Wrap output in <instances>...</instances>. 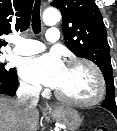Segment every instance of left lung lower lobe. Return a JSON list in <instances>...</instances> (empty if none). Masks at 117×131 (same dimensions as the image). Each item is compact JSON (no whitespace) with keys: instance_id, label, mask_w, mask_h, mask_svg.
Masks as SVG:
<instances>
[{"instance_id":"obj_1","label":"left lung lower lobe","mask_w":117,"mask_h":131,"mask_svg":"<svg viewBox=\"0 0 117 131\" xmlns=\"http://www.w3.org/2000/svg\"><path fill=\"white\" fill-rule=\"evenodd\" d=\"M114 116L117 118V111L112 112Z\"/></svg>"}]
</instances>
